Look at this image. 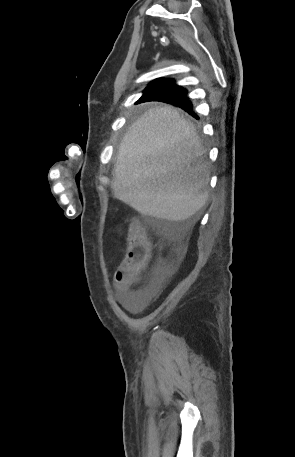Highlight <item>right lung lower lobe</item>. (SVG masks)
<instances>
[{
    "mask_svg": "<svg viewBox=\"0 0 295 457\" xmlns=\"http://www.w3.org/2000/svg\"><path fill=\"white\" fill-rule=\"evenodd\" d=\"M161 89H172L179 92V96L171 97L164 101L177 105L196 117V115L193 113L191 102L186 99L187 91L180 86L173 85L172 81L156 86L147 87L139 102L154 101L158 97V91Z\"/></svg>",
    "mask_w": 295,
    "mask_h": 457,
    "instance_id": "1",
    "label": "right lung lower lobe"
}]
</instances>
